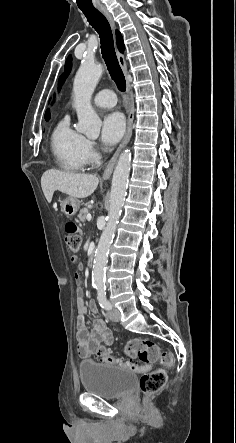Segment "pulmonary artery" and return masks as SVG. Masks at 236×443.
I'll return each instance as SVG.
<instances>
[{"label":"pulmonary artery","instance_id":"e3ab8cb5","mask_svg":"<svg viewBox=\"0 0 236 443\" xmlns=\"http://www.w3.org/2000/svg\"><path fill=\"white\" fill-rule=\"evenodd\" d=\"M93 102L97 106L111 108L116 105L117 98L112 90L105 89L95 95Z\"/></svg>","mask_w":236,"mask_h":443}]
</instances>
